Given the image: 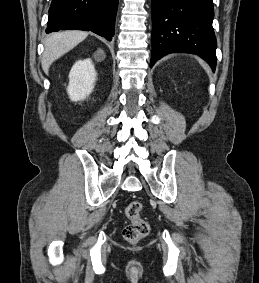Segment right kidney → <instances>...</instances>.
<instances>
[{"label":"right kidney","mask_w":259,"mask_h":283,"mask_svg":"<svg viewBox=\"0 0 259 283\" xmlns=\"http://www.w3.org/2000/svg\"><path fill=\"white\" fill-rule=\"evenodd\" d=\"M96 71L90 58L77 61L69 73L67 93L71 101L85 100L94 89Z\"/></svg>","instance_id":"1"}]
</instances>
